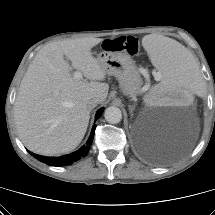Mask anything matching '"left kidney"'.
<instances>
[{
    "instance_id": "1",
    "label": "left kidney",
    "mask_w": 215,
    "mask_h": 215,
    "mask_svg": "<svg viewBox=\"0 0 215 215\" xmlns=\"http://www.w3.org/2000/svg\"><path fill=\"white\" fill-rule=\"evenodd\" d=\"M193 94L183 93L175 86H158L153 87L145 98L147 105H178L191 107L193 105Z\"/></svg>"
}]
</instances>
